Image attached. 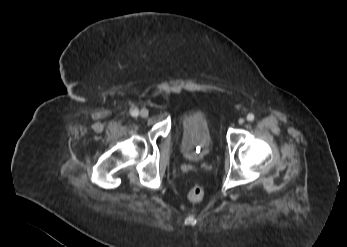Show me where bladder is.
Listing matches in <instances>:
<instances>
[{
  "label": "bladder",
  "instance_id": "31cf9c89",
  "mask_svg": "<svg viewBox=\"0 0 347 247\" xmlns=\"http://www.w3.org/2000/svg\"><path fill=\"white\" fill-rule=\"evenodd\" d=\"M179 123L183 157L191 162L204 160L213 143L207 114L201 109L187 111L180 116Z\"/></svg>",
  "mask_w": 347,
  "mask_h": 247
}]
</instances>
